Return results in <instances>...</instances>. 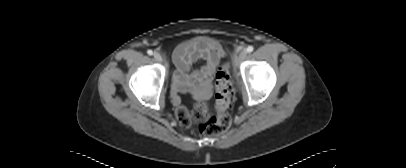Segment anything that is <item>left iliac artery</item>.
Returning <instances> with one entry per match:
<instances>
[{"instance_id":"1","label":"left iliac artery","mask_w":406,"mask_h":168,"mask_svg":"<svg viewBox=\"0 0 406 168\" xmlns=\"http://www.w3.org/2000/svg\"><path fill=\"white\" fill-rule=\"evenodd\" d=\"M253 50H254V47H253V46H248L247 49H246V51H247L248 53L253 52Z\"/></svg>"}]
</instances>
